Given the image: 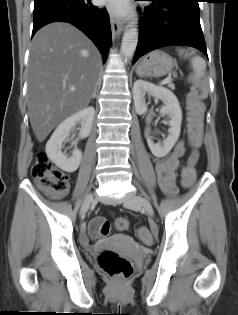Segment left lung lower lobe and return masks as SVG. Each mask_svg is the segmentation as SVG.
<instances>
[{
    "instance_id": "left-lung-lower-lobe-1",
    "label": "left lung lower lobe",
    "mask_w": 238,
    "mask_h": 315,
    "mask_svg": "<svg viewBox=\"0 0 238 315\" xmlns=\"http://www.w3.org/2000/svg\"><path fill=\"white\" fill-rule=\"evenodd\" d=\"M147 1L153 4L144 9L133 63L152 50L170 45L191 46L207 56L199 0Z\"/></svg>"
}]
</instances>
